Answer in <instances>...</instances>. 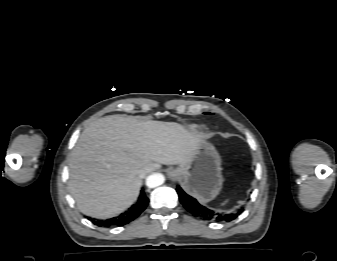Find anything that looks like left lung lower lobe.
Instances as JSON below:
<instances>
[{
  "label": "left lung lower lobe",
  "mask_w": 337,
  "mask_h": 261,
  "mask_svg": "<svg viewBox=\"0 0 337 261\" xmlns=\"http://www.w3.org/2000/svg\"><path fill=\"white\" fill-rule=\"evenodd\" d=\"M177 193L179 200L183 206L195 217L205 221H226L234 220L240 213L243 212V208H240L237 213H220L212 211L202 205H200L196 199L186 194L179 186L177 187Z\"/></svg>",
  "instance_id": "left-lung-lower-lobe-1"
}]
</instances>
